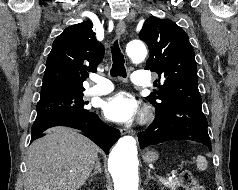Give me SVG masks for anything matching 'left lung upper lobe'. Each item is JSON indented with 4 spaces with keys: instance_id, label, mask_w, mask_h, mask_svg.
Listing matches in <instances>:
<instances>
[{
    "instance_id": "1",
    "label": "left lung upper lobe",
    "mask_w": 238,
    "mask_h": 190,
    "mask_svg": "<svg viewBox=\"0 0 238 190\" xmlns=\"http://www.w3.org/2000/svg\"><path fill=\"white\" fill-rule=\"evenodd\" d=\"M139 38L150 50L145 69L159 76V90L146 97L156 110L181 103L201 104L195 54L186 32L171 20L151 16Z\"/></svg>"
}]
</instances>
